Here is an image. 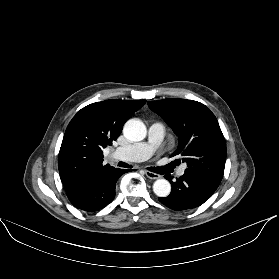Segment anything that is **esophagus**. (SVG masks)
I'll list each match as a JSON object with an SVG mask.
<instances>
[{
    "mask_svg": "<svg viewBox=\"0 0 279 279\" xmlns=\"http://www.w3.org/2000/svg\"><path fill=\"white\" fill-rule=\"evenodd\" d=\"M145 175L150 178V179H158L160 178V175L150 172V171H145Z\"/></svg>",
    "mask_w": 279,
    "mask_h": 279,
    "instance_id": "34e87169",
    "label": "esophagus"
}]
</instances>
